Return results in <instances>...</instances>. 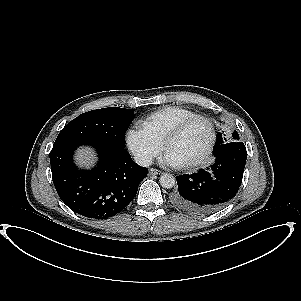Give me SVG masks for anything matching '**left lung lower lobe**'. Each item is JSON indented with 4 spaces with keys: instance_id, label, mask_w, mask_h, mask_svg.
<instances>
[{
    "instance_id": "obj_1",
    "label": "left lung lower lobe",
    "mask_w": 301,
    "mask_h": 301,
    "mask_svg": "<svg viewBox=\"0 0 301 301\" xmlns=\"http://www.w3.org/2000/svg\"><path fill=\"white\" fill-rule=\"evenodd\" d=\"M209 170L178 176L171 202L178 208L209 214L226 206L237 194L243 178L247 151L242 142L227 143L214 151Z\"/></svg>"
}]
</instances>
